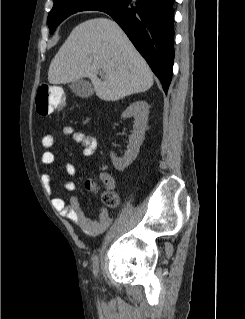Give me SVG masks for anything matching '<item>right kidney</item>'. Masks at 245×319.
I'll use <instances>...</instances> for the list:
<instances>
[{
	"label": "right kidney",
	"instance_id": "1",
	"mask_svg": "<svg viewBox=\"0 0 245 319\" xmlns=\"http://www.w3.org/2000/svg\"><path fill=\"white\" fill-rule=\"evenodd\" d=\"M149 105L146 101L139 100L130 104L122 113V118L134 117L133 133L129 136V144L123 158H117L112 152L110 154L114 167L118 171H123L137 157L140 146L144 140L147 128Z\"/></svg>",
	"mask_w": 245,
	"mask_h": 319
}]
</instances>
